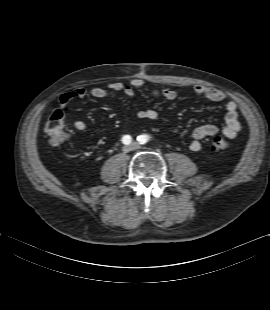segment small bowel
<instances>
[{
  "mask_svg": "<svg viewBox=\"0 0 270 310\" xmlns=\"http://www.w3.org/2000/svg\"><path fill=\"white\" fill-rule=\"evenodd\" d=\"M144 81L139 78H135L130 81L129 84H122L120 82H112L107 87H92L89 90L78 87L69 92L62 94L59 98V107L64 109L71 101L76 99H82L87 95L94 98L102 99L107 98L117 93H123L130 100H135L136 89L142 88ZM194 93L198 97H205L214 102H223L226 100V94L216 88L207 87L204 85H196L194 87ZM152 95L156 98H164L166 100H174L177 97L175 91L170 89H154ZM225 126L220 129L213 124H204L195 128L192 132V140L189 143V148L192 151H199L201 149V140L221 132L225 137L229 139L235 138L241 130V124L239 122V110L238 105L233 100H228L225 104ZM137 117L144 120H156L158 118V112L155 109H141L137 112ZM73 127L77 131H86L87 124L84 121L76 120L73 122Z\"/></svg>",
  "mask_w": 270,
  "mask_h": 310,
  "instance_id": "1",
  "label": "small bowel"
}]
</instances>
